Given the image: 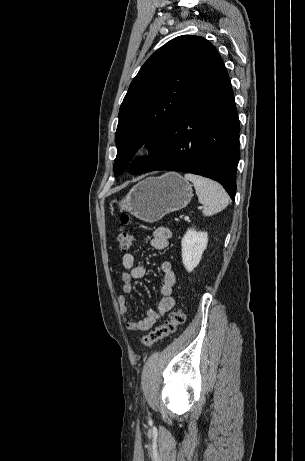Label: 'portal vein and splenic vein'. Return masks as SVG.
Listing matches in <instances>:
<instances>
[{"label": "portal vein and splenic vein", "mask_w": 305, "mask_h": 461, "mask_svg": "<svg viewBox=\"0 0 305 461\" xmlns=\"http://www.w3.org/2000/svg\"><path fill=\"white\" fill-rule=\"evenodd\" d=\"M184 219L187 221V220H189V217H188V216H185V218H184Z\"/></svg>", "instance_id": "obj_1"}]
</instances>
